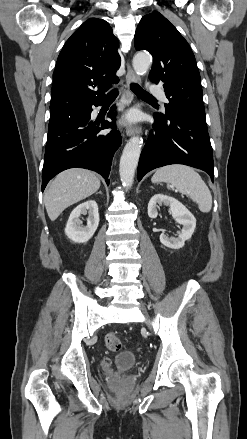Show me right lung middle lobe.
<instances>
[{"label": "right lung middle lobe", "mask_w": 247, "mask_h": 439, "mask_svg": "<svg viewBox=\"0 0 247 439\" xmlns=\"http://www.w3.org/2000/svg\"><path fill=\"white\" fill-rule=\"evenodd\" d=\"M77 107L71 108V109H66V110H62V111H57V112H51L50 113V123H53L61 118H64L66 116H68L73 110H75Z\"/></svg>", "instance_id": "1"}]
</instances>
